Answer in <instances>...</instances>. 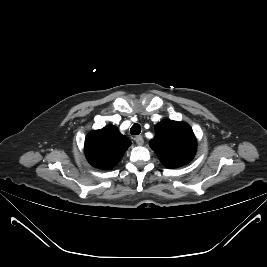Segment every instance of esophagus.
Wrapping results in <instances>:
<instances>
[{"mask_svg": "<svg viewBox=\"0 0 267 267\" xmlns=\"http://www.w3.org/2000/svg\"><path fill=\"white\" fill-rule=\"evenodd\" d=\"M135 142L137 143V145H143L144 144V139L141 135H138L134 138Z\"/></svg>", "mask_w": 267, "mask_h": 267, "instance_id": "34e87169", "label": "esophagus"}]
</instances>
